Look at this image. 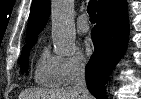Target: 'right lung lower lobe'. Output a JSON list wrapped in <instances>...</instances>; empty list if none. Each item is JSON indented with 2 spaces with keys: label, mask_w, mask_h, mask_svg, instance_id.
<instances>
[{
  "label": "right lung lower lobe",
  "mask_w": 141,
  "mask_h": 99,
  "mask_svg": "<svg viewBox=\"0 0 141 99\" xmlns=\"http://www.w3.org/2000/svg\"><path fill=\"white\" fill-rule=\"evenodd\" d=\"M97 25L91 36L95 51L86 65L89 91L97 99H106L105 84L123 55L128 41L126 0H108L97 11Z\"/></svg>",
  "instance_id": "right-lung-lower-lobe-1"
}]
</instances>
